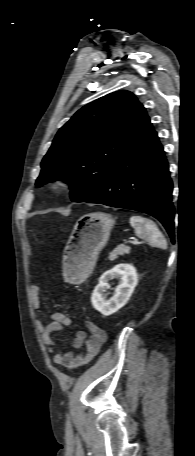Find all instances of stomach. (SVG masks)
Wrapping results in <instances>:
<instances>
[{
    "label": "stomach",
    "mask_w": 195,
    "mask_h": 456,
    "mask_svg": "<svg viewBox=\"0 0 195 456\" xmlns=\"http://www.w3.org/2000/svg\"><path fill=\"white\" fill-rule=\"evenodd\" d=\"M115 219L108 213L83 215L75 223L64 249V272L68 281L80 283L93 271L106 245Z\"/></svg>",
    "instance_id": "stomach-1"
}]
</instances>
